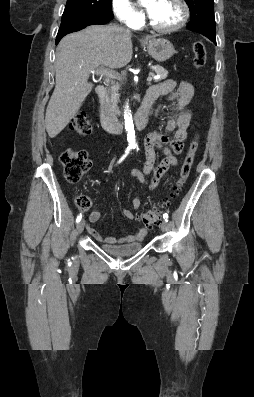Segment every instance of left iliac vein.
<instances>
[{"mask_svg": "<svg viewBox=\"0 0 254 397\" xmlns=\"http://www.w3.org/2000/svg\"><path fill=\"white\" fill-rule=\"evenodd\" d=\"M160 228L163 232H165L168 229V224L165 220H163L160 224Z\"/></svg>", "mask_w": 254, "mask_h": 397, "instance_id": "1", "label": "left iliac vein"}]
</instances>
